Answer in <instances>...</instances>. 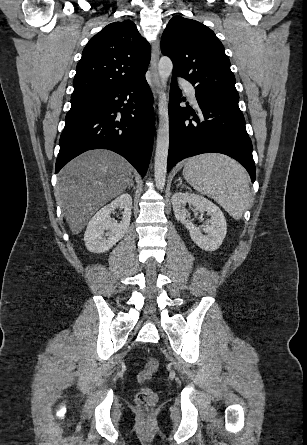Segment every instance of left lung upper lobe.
I'll list each match as a JSON object with an SVG mask.
<instances>
[{
  "instance_id": "left-lung-upper-lobe-1",
  "label": "left lung upper lobe",
  "mask_w": 307,
  "mask_h": 445,
  "mask_svg": "<svg viewBox=\"0 0 307 445\" xmlns=\"http://www.w3.org/2000/svg\"><path fill=\"white\" fill-rule=\"evenodd\" d=\"M161 51L173 62V76L184 77L195 85L197 97L238 106L239 94L229 58L207 26L174 16L163 32Z\"/></svg>"
}]
</instances>
